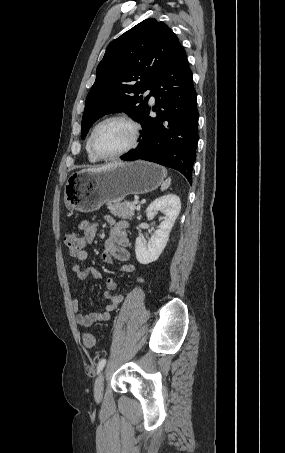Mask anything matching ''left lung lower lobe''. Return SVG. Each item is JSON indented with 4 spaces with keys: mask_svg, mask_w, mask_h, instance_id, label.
Masks as SVG:
<instances>
[{
    "mask_svg": "<svg viewBox=\"0 0 285 453\" xmlns=\"http://www.w3.org/2000/svg\"><path fill=\"white\" fill-rule=\"evenodd\" d=\"M151 95L153 111L148 107L139 122L142 125L138 147L120 158L126 161L143 159L181 172L192 183V167L198 142L196 92L186 53L179 44L157 77Z\"/></svg>",
    "mask_w": 285,
    "mask_h": 453,
    "instance_id": "1",
    "label": "left lung lower lobe"
}]
</instances>
